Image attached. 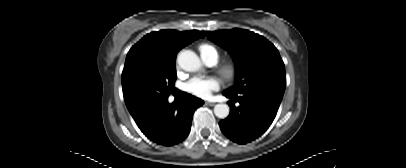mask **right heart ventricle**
Here are the masks:
<instances>
[{
	"instance_id": "e07e8e85",
	"label": "right heart ventricle",
	"mask_w": 406,
	"mask_h": 168,
	"mask_svg": "<svg viewBox=\"0 0 406 168\" xmlns=\"http://www.w3.org/2000/svg\"><path fill=\"white\" fill-rule=\"evenodd\" d=\"M198 49L201 54V57L205 62L208 61L209 59H213L215 62H217L219 58V52L213 45L208 43H202L199 45Z\"/></svg>"
}]
</instances>
